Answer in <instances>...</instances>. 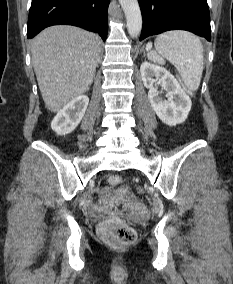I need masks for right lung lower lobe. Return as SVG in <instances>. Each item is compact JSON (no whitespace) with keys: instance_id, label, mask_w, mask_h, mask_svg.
<instances>
[{"instance_id":"1","label":"right lung lower lobe","mask_w":233,"mask_h":284,"mask_svg":"<svg viewBox=\"0 0 233 284\" xmlns=\"http://www.w3.org/2000/svg\"><path fill=\"white\" fill-rule=\"evenodd\" d=\"M109 3L110 0H32L27 38L48 26L68 24L98 32L105 41Z\"/></svg>"}]
</instances>
